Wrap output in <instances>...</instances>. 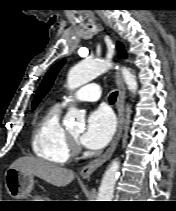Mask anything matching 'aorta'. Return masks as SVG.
Wrapping results in <instances>:
<instances>
[{"label":"aorta","mask_w":176,"mask_h":211,"mask_svg":"<svg viewBox=\"0 0 176 211\" xmlns=\"http://www.w3.org/2000/svg\"><path fill=\"white\" fill-rule=\"evenodd\" d=\"M110 68H112V63L108 60L82 61L69 70L67 76L68 87L70 89L78 88L105 73ZM121 72L128 89L135 94L138 87L135 76L125 67L121 69ZM65 122L82 126L85 122V116L75 107H71L65 116ZM119 168L120 162L113 160L103 175L97 201H112L115 184L119 176Z\"/></svg>","instance_id":"aorta-1"}]
</instances>
